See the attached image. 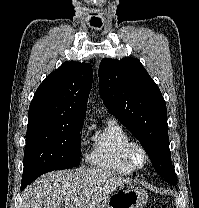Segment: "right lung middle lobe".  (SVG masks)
Wrapping results in <instances>:
<instances>
[{
  "label": "right lung middle lobe",
  "instance_id": "1",
  "mask_svg": "<svg viewBox=\"0 0 199 208\" xmlns=\"http://www.w3.org/2000/svg\"><path fill=\"white\" fill-rule=\"evenodd\" d=\"M82 127L83 122L29 119L22 181L32 182L43 173L77 166L80 163Z\"/></svg>",
  "mask_w": 199,
  "mask_h": 208
}]
</instances>
